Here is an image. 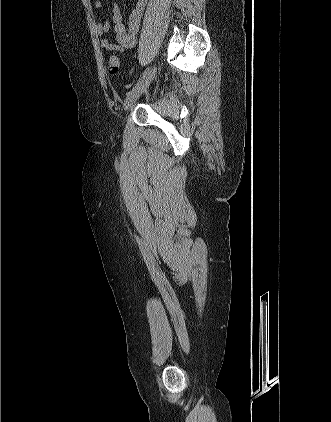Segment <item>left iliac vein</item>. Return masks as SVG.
I'll use <instances>...</instances> for the list:
<instances>
[{
    "label": "left iliac vein",
    "instance_id": "1",
    "mask_svg": "<svg viewBox=\"0 0 331 422\" xmlns=\"http://www.w3.org/2000/svg\"><path fill=\"white\" fill-rule=\"evenodd\" d=\"M157 67H153L145 75L143 80L126 97L123 105L124 112H127L140 95L147 90L156 75Z\"/></svg>",
    "mask_w": 331,
    "mask_h": 422
}]
</instances>
